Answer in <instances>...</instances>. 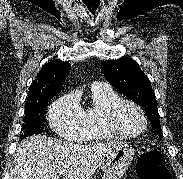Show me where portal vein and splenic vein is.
I'll return each mask as SVG.
<instances>
[{
  "label": "portal vein and splenic vein",
  "instance_id": "portal-vein-and-splenic-vein-1",
  "mask_svg": "<svg viewBox=\"0 0 183 179\" xmlns=\"http://www.w3.org/2000/svg\"><path fill=\"white\" fill-rule=\"evenodd\" d=\"M59 173H60L61 175H65V174L68 173V171H67L66 169H64V170H61Z\"/></svg>",
  "mask_w": 183,
  "mask_h": 179
}]
</instances>
